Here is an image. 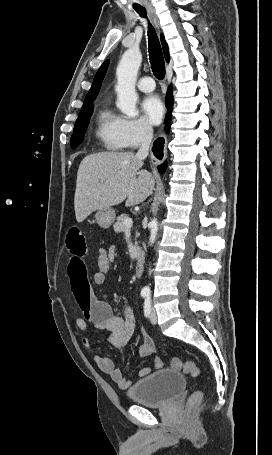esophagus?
Listing matches in <instances>:
<instances>
[{"label": "esophagus", "instance_id": "34e87169", "mask_svg": "<svg viewBox=\"0 0 272 455\" xmlns=\"http://www.w3.org/2000/svg\"><path fill=\"white\" fill-rule=\"evenodd\" d=\"M146 7H147V10H148L149 14L153 18L156 26H158L157 22L155 20L153 9H152L151 5H147ZM164 143H165V141H164L163 138H157L154 141L153 148H152V151H153L152 162L155 165H157V164H159L161 162V159L163 157Z\"/></svg>", "mask_w": 272, "mask_h": 455}]
</instances>
